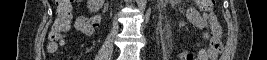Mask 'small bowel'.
I'll return each mask as SVG.
<instances>
[{"label": "small bowel", "instance_id": "small-bowel-1", "mask_svg": "<svg viewBox=\"0 0 267 60\" xmlns=\"http://www.w3.org/2000/svg\"><path fill=\"white\" fill-rule=\"evenodd\" d=\"M102 17L94 15L91 17H79L77 20V28L86 36H91L95 32V28L100 24ZM186 22H190L199 28L208 27L210 33L206 34L209 45L207 48L200 49L197 53H183L180 58L186 60H214L218 57L222 50L224 39L223 30L216 16L209 13H201L194 7H189L186 10L185 19L180 22L179 26H183ZM90 25L88 29L85 26Z\"/></svg>", "mask_w": 267, "mask_h": 60}]
</instances>
